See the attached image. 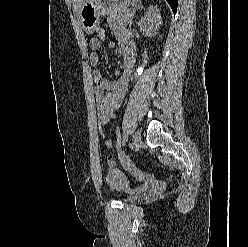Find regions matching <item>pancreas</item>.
<instances>
[{"label":"pancreas","mask_w":248,"mask_h":247,"mask_svg":"<svg viewBox=\"0 0 248 247\" xmlns=\"http://www.w3.org/2000/svg\"><path fill=\"white\" fill-rule=\"evenodd\" d=\"M107 23L110 28L117 30L131 24V15L127 10H116L109 15Z\"/></svg>","instance_id":"1"}]
</instances>
